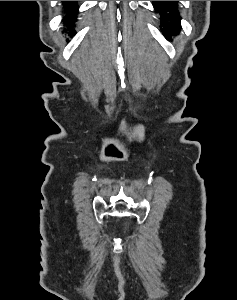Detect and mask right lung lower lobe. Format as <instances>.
I'll return each mask as SVG.
<instances>
[{
	"label": "right lung lower lobe",
	"mask_w": 237,
	"mask_h": 300,
	"mask_svg": "<svg viewBox=\"0 0 237 300\" xmlns=\"http://www.w3.org/2000/svg\"><path fill=\"white\" fill-rule=\"evenodd\" d=\"M78 7L77 1H63V13L65 14L63 24L66 27L64 31L68 32L71 37L76 33L73 28L77 21Z\"/></svg>",
	"instance_id": "1"
}]
</instances>
